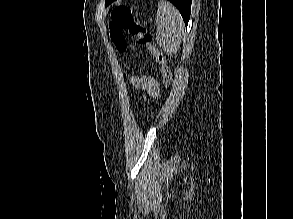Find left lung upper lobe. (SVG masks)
I'll use <instances>...</instances> for the list:
<instances>
[{
    "mask_svg": "<svg viewBox=\"0 0 293 219\" xmlns=\"http://www.w3.org/2000/svg\"><path fill=\"white\" fill-rule=\"evenodd\" d=\"M113 1H115V0H106L105 1L106 6L109 5L110 3H112Z\"/></svg>",
    "mask_w": 293,
    "mask_h": 219,
    "instance_id": "5c2ea615",
    "label": "left lung upper lobe"
}]
</instances>
